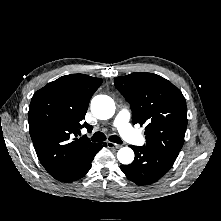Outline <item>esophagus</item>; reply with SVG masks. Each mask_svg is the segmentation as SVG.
Returning a JSON list of instances; mask_svg holds the SVG:
<instances>
[{"label":"esophagus","instance_id":"1","mask_svg":"<svg viewBox=\"0 0 221 221\" xmlns=\"http://www.w3.org/2000/svg\"><path fill=\"white\" fill-rule=\"evenodd\" d=\"M122 145L113 143V142H107V147L110 149H119Z\"/></svg>","mask_w":221,"mask_h":221}]
</instances>
